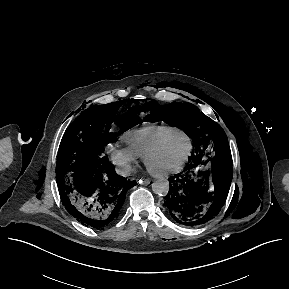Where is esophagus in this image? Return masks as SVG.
<instances>
[{
	"instance_id": "obj_1",
	"label": "esophagus",
	"mask_w": 289,
	"mask_h": 289,
	"mask_svg": "<svg viewBox=\"0 0 289 289\" xmlns=\"http://www.w3.org/2000/svg\"><path fill=\"white\" fill-rule=\"evenodd\" d=\"M151 182L150 179H140L139 183L143 184V185H148Z\"/></svg>"
}]
</instances>
